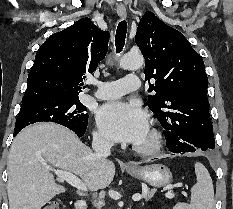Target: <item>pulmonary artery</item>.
<instances>
[{
	"instance_id": "e3ab8cb5",
	"label": "pulmonary artery",
	"mask_w": 233,
	"mask_h": 209,
	"mask_svg": "<svg viewBox=\"0 0 233 209\" xmlns=\"http://www.w3.org/2000/svg\"><path fill=\"white\" fill-rule=\"evenodd\" d=\"M98 90L95 97L99 99H113L126 93L137 91L140 87V78L137 75H128L122 79L97 83Z\"/></svg>"
}]
</instances>
